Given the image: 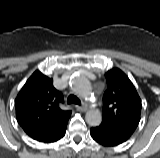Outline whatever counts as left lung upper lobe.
<instances>
[{
	"label": "left lung upper lobe",
	"mask_w": 160,
	"mask_h": 158,
	"mask_svg": "<svg viewBox=\"0 0 160 158\" xmlns=\"http://www.w3.org/2000/svg\"><path fill=\"white\" fill-rule=\"evenodd\" d=\"M102 125L131 136L140 121L141 99L127 75L118 68L105 74Z\"/></svg>",
	"instance_id": "obj_1"
}]
</instances>
